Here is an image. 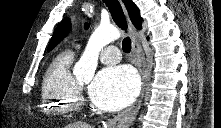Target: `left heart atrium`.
Returning a JSON list of instances; mask_svg holds the SVG:
<instances>
[{
    "mask_svg": "<svg viewBox=\"0 0 221 128\" xmlns=\"http://www.w3.org/2000/svg\"><path fill=\"white\" fill-rule=\"evenodd\" d=\"M139 78L127 66L101 70L89 89L91 101L101 109L115 111L128 106L139 92Z\"/></svg>",
    "mask_w": 221,
    "mask_h": 128,
    "instance_id": "39dd6f15",
    "label": "left heart atrium"
}]
</instances>
